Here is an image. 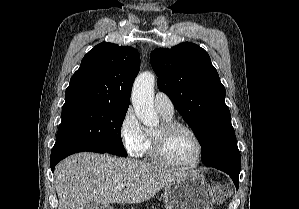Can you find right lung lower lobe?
<instances>
[{
	"label": "right lung lower lobe",
	"mask_w": 299,
	"mask_h": 209,
	"mask_svg": "<svg viewBox=\"0 0 299 209\" xmlns=\"http://www.w3.org/2000/svg\"><path fill=\"white\" fill-rule=\"evenodd\" d=\"M82 151H90V152H96V153H108L105 150L96 148V147H89V146H83L78 144H70L65 142H56L52 151H51V157H50V167L52 172H54V168L56 164L64 159L65 157Z\"/></svg>",
	"instance_id": "obj_1"
}]
</instances>
